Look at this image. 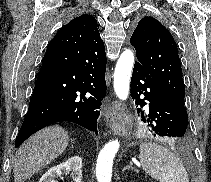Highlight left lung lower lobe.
<instances>
[{
	"label": "left lung lower lobe",
	"instance_id": "0a47b994",
	"mask_svg": "<svg viewBox=\"0 0 211 182\" xmlns=\"http://www.w3.org/2000/svg\"><path fill=\"white\" fill-rule=\"evenodd\" d=\"M131 97L137 106L143 107L149 102V132L153 136L176 138L179 143L186 136L188 115L184 104L163 90L155 81L135 63L131 78ZM141 112L145 122L144 112Z\"/></svg>",
	"mask_w": 211,
	"mask_h": 182
}]
</instances>
